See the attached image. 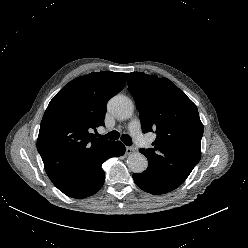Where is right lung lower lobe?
<instances>
[{"instance_id": "1", "label": "right lung lower lobe", "mask_w": 248, "mask_h": 248, "mask_svg": "<svg viewBox=\"0 0 248 248\" xmlns=\"http://www.w3.org/2000/svg\"><path fill=\"white\" fill-rule=\"evenodd\" d=\"M124 153L125 146L120 141H113L99 160L87 165L71 181L57 188L67 196L77 199L95 194L101 189L105 180L102 163L110 157H119Z\"/></svg>"}]
</instances>
